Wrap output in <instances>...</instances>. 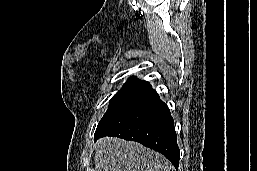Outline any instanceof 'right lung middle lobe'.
I'll return each instance as SVG.
<instances>
[{
  "mask_svg": "<svg viewBox=\"0 0 257 171\" xmlns=\"http://www.w3.org/2000/svg\"><path fill=\"white\" fill-rule=\"evenodd\" d=\"M148 90L147 86L138 87L136 89L119 90L110 100V105L101 121L99 122L98 127L103 125L107 120H109L115 113L121 110L124 106L130 103L132 100L143 94Z\"/></svg>",
  "mask_w": 257,
  "mask_h": 171,
  "instance_id": "1",
  "label": "right lung middle lobe"
}]
</instances>
